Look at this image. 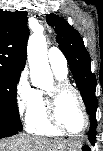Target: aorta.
<instances>
[{"mask_svg":"<svg viewBox=\"0 0 103 151\" xmlns=\"http://www.w3.org/2000/svg\"><path fill=\"white\" fill-rule=\"evenodd\" d=\"M44 28L39 23L33 26V33L27 45V58L30 66L31 77L39 81L43 77H51V70L47 58V45Z\"/></svg>","mask_w":103,"mask_h":151,"instance_id":"obj_1","label":"aorta"}]
</instances>
